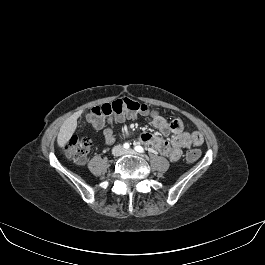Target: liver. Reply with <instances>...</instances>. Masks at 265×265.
I'll use <instances>...</instances> for the list:
<instances>
[{"label":"liver","mask_w":265,"mask_h":265,"mask_svg":"<svg viewBox=\"0 0 265 265\" xmlns=\"http://www.w3.org/2000/svg\"><path fill=\"white\" fill-rule=\"evenodd\" d=\"M81 113V111L75 112L61 125L57 136V143L59 147H64L75 132L77 127V119L80 117Z\"/></svg>","instance_id":"obj_1"}]
</instances>
